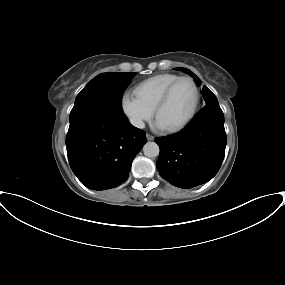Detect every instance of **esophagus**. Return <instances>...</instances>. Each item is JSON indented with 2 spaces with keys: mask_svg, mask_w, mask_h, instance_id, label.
<instances>
[{
  "mask_svg": "<svg viewBox=\"0 0 285 285\" xmlns=\"http://www.w3.org/2000/svg\"><path fill=\"white\" fill-rule=\"evenodd\" d=\"M146 138H147V140H149V141L154 140V136H152V135H150V134H146Z\"/></svg>",
  "mask_w": 285,
  "mask_h": 285,
  "instance_id": "34e87169",
  "label": "esophagus"
}]
</instances>
